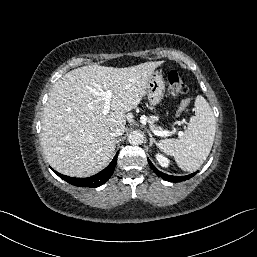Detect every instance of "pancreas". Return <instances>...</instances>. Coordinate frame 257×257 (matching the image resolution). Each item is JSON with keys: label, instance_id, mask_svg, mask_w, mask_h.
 I'll return each mask as SVG.
<instances>
[{"label": "pancreas", "instance_id": "cf45deb5", "mask_svg": "<svg viewBox=\"0 0 257 257\" xmlns=\"http://www.w3.org/2000/svg\"><path fill=\"white\" fill-rule=\"evenodd\" d=\"M154 122H155V118L154 117L148 118V123H149V126H150L151 129L162 130L161 127L155 126Z\"/></svg>", "mask_w": 257, "mask_h": 257}]
</instances>
